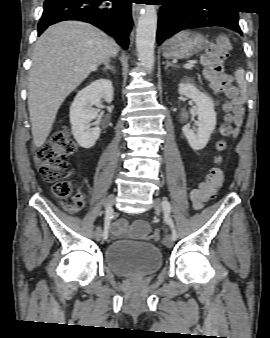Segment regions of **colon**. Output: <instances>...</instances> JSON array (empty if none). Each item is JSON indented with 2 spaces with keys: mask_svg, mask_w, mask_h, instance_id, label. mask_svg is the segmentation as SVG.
<instances>
[{
  "mask_svg": "<svg viewBox=\"0 0 270 338\" xmlns=\"http://www.w3.org/2000/svg\"><path fill=\"white\" fill-rule=\"evenodd\" d=\"M231 43L225 36L219 37L215 42L207 45L202 52L200 62L202 75L210 82L212 89L225 96V115L221 127L223 136L229 138L236 135L240 124L241 109L236 101V91L231 84L228 74L224 73L222 63L229 56ZM219 150L227 147L226 141L217 145ZM74 139L65 132H60L42 145L35 156V162L41 177L52 185L53 194L58 198H68L72 193L71 184L63 179L68 165V157L75 151ZM225 173L222 168H213L206 179L191 192V201L196 211H201L204 204L214 197L217 190L224 184ZM66 209L71 213H78L83 207V200L72 201ZM159 239V233L152 236Z\"/></svg>",
  "mask_w": 270,
  "mask_h": 338,
  "instance_id": "5ec220e1",
  "label": "colon"
}]
</instances>
